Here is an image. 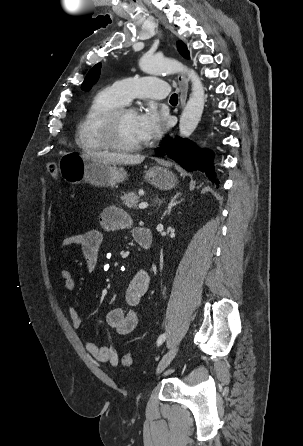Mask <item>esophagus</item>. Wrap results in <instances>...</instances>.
<instances>
[{
  "instance_id": "34e87169",
  "label": "esophagus",
  "mask_w": 303,
  "mask_h": 446,
  "mask_svg": "<svg viewBox=\"0 0 303 446\" xmlns=\"http://www.w3.org/2000/svg\"><path fill=\"white\" fill-rule=\"evenodd\" d=\"M177 80L180 88V104L184 107L188 94V81L182 73L178 75Z\"/></svg>"
}]
</instances>
